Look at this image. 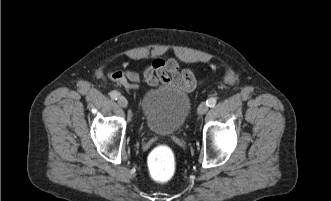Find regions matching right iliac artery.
<instances>
[{
    "mask_svg": "<svg viewBox=\"0 0 331 201\" xmlns=\"http://www.w3.org/2000/svg\"><path fill=\"white\" fill-rule=\"evenodd\" d=\"M119 96H120V93L117 91L110 92V97L114 100H117L119 98Z\"/></svg>",
    "mask_w": 331,
    "mask_h": 201,
    "instance_id": "1",
    "label": "right iliac artery"
}]
</instances>
